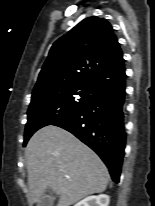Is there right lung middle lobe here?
I'll list each match as a JSON object with an SVG mask.
<instances>
[{"label": "right lung middle lobe", "instance_id": "obj_1", "mask_svg": "<svg viewBox=\"0 0 155 206\" xmlns=\"http://www.w3.org/2000/svg\"><path fill=\"white\" fill-rule=\"evenodd\" d=\"M99 92L89 86L76 85L32 94L23 146L37 130L73 115L90 103Z\"/></svg>", "mask_w": 155, "mask_h": 206}]
</instances>
